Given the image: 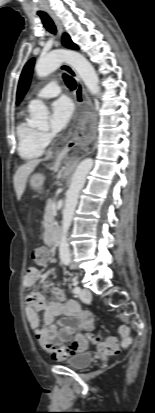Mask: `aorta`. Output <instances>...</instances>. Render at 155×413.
Instances as JSON below:
<instances>
[{"label": "aorta", "instance_id": "obj_1", "mask_svg": "<svg viewBox=\"0 0 155 413\" xmlns=\"http://www.w3.org/2000/svg\"><path fill=\"white\" fill-rule=\"evenodd\" d=\"M63 62H67L73 67L91 94H100L98 74L93 65L78 52L59 49L45 56H41L35 65L36 74L40 78L46 77L54 72ZM28 108L30 123L33 126H42L47 123L49 112L42 101L33 100L30 102ZM93 164L94 162L91 158H86L79 163L72 175L70 187L66 192L62 232L59 243V256L64 265H69L71 262L70 249L67 241L68 231L73 220L80 191L84 187L86 177L92 169Z\"/></svg>", "mask_w": 155, "mask_h": 413}]
</instances>
